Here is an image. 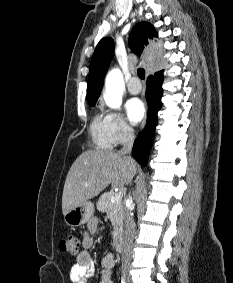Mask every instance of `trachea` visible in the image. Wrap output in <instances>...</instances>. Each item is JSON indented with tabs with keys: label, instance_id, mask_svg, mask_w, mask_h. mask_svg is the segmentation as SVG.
<instances>
[{
	"label": "trachea",
	"instance_id": "trachea-1",
	"mask_svg": "<svg viewBox=\"0 0 233 283\" xmlns=\"http://www.w3.org/2000/svg\"><path fill=\"white\" fill-rule=\"evenodd\" d=\"M138 76L140 79H144L145 78V70L140 68L138 69Z\"/></svg>",
	"mask_w": 233,
	"mask_h": 283
}]
</instances>
